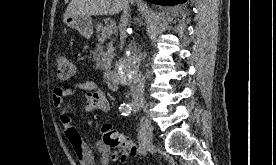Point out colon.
I'll return each instance as SVG.
<instances>
[{
	"label": "colon",
	"instance_id": "5ec220e1",
	"mask_svg": "<svg viewBox=\"0 0 276 165\" xmlns=\"http://www.w3.org/2000/svg\"><path fill=\"white\" fill-rule=\"evenodd\" d=\"M57 77L60 80H69L76 74V68L67 56H59L57 59ZM101 140L111 148L119 149L132 157L138 155V150L130 138L114 129L109 123L101 128Z\"/></svg>",
	"mask_w": 276,
	"mask_h": 165
}]
</instances>
